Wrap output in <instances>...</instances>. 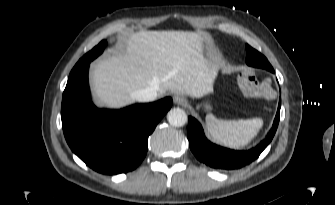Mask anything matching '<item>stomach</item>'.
Listing matches in <instances>:
<instances>
[{
  "instance_id": "stomach-1",
  "label": "stomach",
  "mask_w": 335,
  "mask_h": 205,
  "mask_svg": "<svg viewBox=\"0 0 335 205\" xmlns=\"http://www.w3.org/2000/svg\"><path fill=\"white\" fill-rule=\"evenodd\" d=\"M206 109H211V106L209 104H205Z\"/></svg>"
}]
</instances>
